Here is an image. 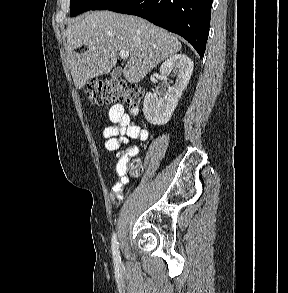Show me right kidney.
<instances>
[{"instance_id":"right-kidney-1","label":"right kidney","mask_w":288,"mask_h":293,"mask_svg":"<svg viewBox=\"0 0 288 293\" xmlns=\"http://www.w3.org/2000/svg\"><path fill=\"white\" fill-rule=\"evenodd\" d=\"M170 71L174 72L177 78L166 94L158 97L156 93L148 92L144 98L143 113L147 121L153 125H164L169 121L189 83L193 71V61L184 54L173 55L160 67V73L164 78Z\"/></svg>"}]
</instances>
